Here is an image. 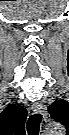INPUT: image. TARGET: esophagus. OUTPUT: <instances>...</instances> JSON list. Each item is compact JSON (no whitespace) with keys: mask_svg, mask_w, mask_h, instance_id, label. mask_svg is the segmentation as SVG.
Masks as SVG:
<instances>
[{"mask_svg":"<svg viewBox=\"0 0 69 135\" xmlns=\"http://www.w3.org/2000/svg\"><path fill=\"white\" fill-rule=\"evenodd\" d=\"M32 109L35 113H40L45 116L46 108L42 103L33 104Z\"/></svg>","mask_w":69,"mask_h":135,"instance_id":"esophagus-1","label":"esophagus"}]
</instances>
